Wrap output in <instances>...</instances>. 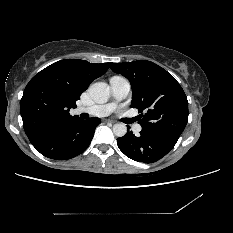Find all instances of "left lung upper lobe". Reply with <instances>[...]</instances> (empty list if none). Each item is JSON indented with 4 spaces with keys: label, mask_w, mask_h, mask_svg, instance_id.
I'll return each instance as SVG.
<instances>
[{
    "label": "left lung upper lobe",
    "mask_w": 233,
    "mask_h": 233,
    "mask_svg": "<svg viewBox=\"0 0 233 233\" xmlns=\"http://www.w3.org/2000/svg\"><path fill=\"white\" fill-rule=\"evenodd\" d=\"M109 65L130 81L132 108L145 110L144 115H139L142 130L178 139L188 121V100L176 79L147 60Z\"/></svg>",
    "instance_id": "5c2ea615"
}]
</instances>
